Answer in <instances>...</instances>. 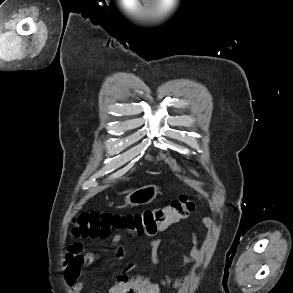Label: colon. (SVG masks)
Returning <instances> with one entry per match:
<instances>
[{"label": "colon", "mask_w": 293, "mask_h": 293, "mask_svg": "<svg viewBox=\"0 0 293 293\" xmlns=\"http://www.w3.org/2000/svg\"><path fill=\"white\" fill-rule=\"evenodd\" d=\"M195 206L188 194L180 195L167 206L127 214L84 211L73 218L75 237L110 238L115 232L144 233L162 229L182 218ZM141 290V293H146Z\"/></svg>", "instance_id": "5ec220e1"}]
</instances>
